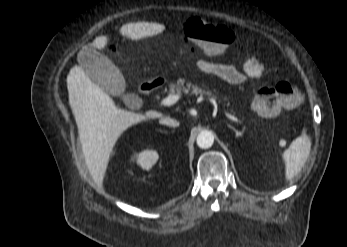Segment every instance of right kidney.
I'll use <instances>...</instances> for the list:
<instances>
[{
    "label": "right kidney",
    "mask_w": 347,
    "mask_h": 247,
    "mask_svg": "<svg viewBox=\"0 0 347 247\" xmlns=\"http://www.w3.org/2000/svg\"><path fill=\"white\" fill-rule=\"evenodd\" d=\"M137 164L144 170H150L153 165L158 161L159 155L155 150H144L137 154Z\"/></svg>",
    "instance_id": "obj_1"
}]
</instances>
